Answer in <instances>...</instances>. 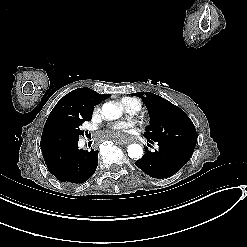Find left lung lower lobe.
I'll return each instance as SVG.
<instances>
[{"label":"left lung lower lobe","instance_id":"obj_1","mask_svg":"<svg viewBox=\"0 0 247 247\" xmlns=\"http://www.w3.org/2000/svg\"><path fill=\"white\" fill-rule=\"evenodd\" d=\"M153 143V142H150ZM159 149L149 152L146 148L143 157L135 165L153 178H167L177 173L191 158L190 148L157 142Z\"/></svg>","mask_w":247,"mask_h":247}]
</instances>
